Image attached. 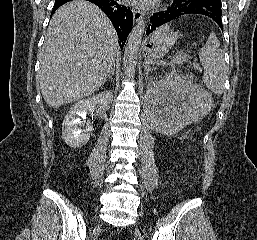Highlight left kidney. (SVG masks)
Listing matches in <instances>:
<instances>
[{
  "label": "left kidney",
  "mask_w": 257,
  "mask_h": 240,
  "mask_svg": "<svg viewBox=\"0 0 257 240\" xmlns=\"http://www.w3.org/2000/svg\"><path fill=\"white\" fill-rule=\"evenodd\" d=\"M144 105L152 129L166 135L202 119L210 107L208 93L188 76L177 73L152 81Z\"/></svg>",
  "instance_id": "5707ae66"
}]
</instances>
